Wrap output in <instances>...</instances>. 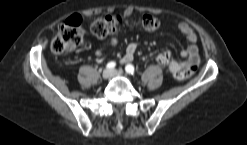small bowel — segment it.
Instances as JSON below:
<instances>
[{
	"instance_id": "1",
	"label": "small bowel",
	"mask_w": 247,
	"mask_h": 145,
	"mask_svg": "<svg viewBox=\"0 0 247 145\" xmlns=\"http://www.w3.org/2000/svg\"><path fill=\"white\" fill-rule=\"evenodd\" d=\"M178 29L186 37L189 44L186 48H184L180 51L181 57L184 58L181 61L176 60V59H172L171 55L169 53H166L170 57V62H169V64H167L165 66H168L170 72L173 74H175L176 72H187L191 69L196 70V68L199 64V61H200L198 47L196 45L197 35L193 31V29L186 22L179 23ZM109 44L111 46H116L118 44V38L115 36L111 37L109 40ZM137 48H138L137 42H130L126 47L125 54L121 58V63L126 64V63L131 62L135 57ZM96 55L102 56L103 55V48L97 49ZM157 60H158V58H157Z\"/></svg>"
}]
</instances>
